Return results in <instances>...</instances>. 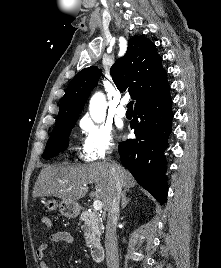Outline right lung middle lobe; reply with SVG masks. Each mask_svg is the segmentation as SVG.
<instances>
[{"instance_id": "obj_1", "label": "right lung middle lobe", "mask_w": 221, "mask_h": 268, "mask_svg": "<svg viewBox=\"0 0 221 268\" xmlns=\"http://www.w3.org/2000/svg\"><path fill=\"white\" fill-rule=\"evenodd\" d=\"M76 121L77 118L55 124V128L47 141L46 150L42 155L44 159L54 157L68 147L69 135Z\"/></svg>"}]
</instances>
